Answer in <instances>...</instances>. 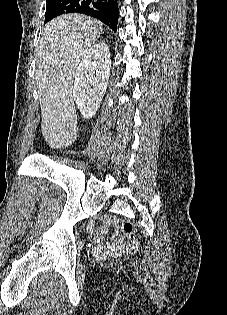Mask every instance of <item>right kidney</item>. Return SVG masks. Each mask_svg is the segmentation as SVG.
Here are the masks:
<instances>
[{
	"instance_id": "1",
	"label": "right kidney",
	"mask_w": 227,
	"mask_h": 315,
	"mask_svg": "<svg viewBox=\"0 0 227 315\" xmlns=\"http://www.w3.org/2000/svg\"><path fill=\"white\" fill-rule=\"evenodd\" d=\"M111 68L110 52L105 42L95 44L84 54L73 86V98L84 118H92L106 92Z\"/></svg>"
}]
</instances>
